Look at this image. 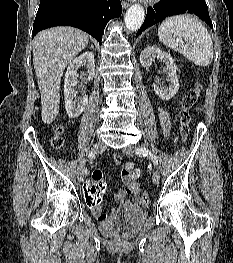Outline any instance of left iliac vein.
I'll list each match as a JSON object with an SVG mask.
<instances>
[{
	"label": "left iliac vein",
	"instance_id": "4c4485c4",
	"mask_svg": "<svg viewBox=\"0 0 233 263\" xmlns=\"http://www.w3.org/2000/svg\"><path fill=\"white\" fill-rule=\"evenodd\" d=\"M136 146L135 145H129L123 148V153L127 156H134L136 152ZM160 180V173L158 170H154L152 175V182L154 184H158Z\"/></svg>",
	"mask_w": 233,
	"mask_h": 263
}]
</instances>
